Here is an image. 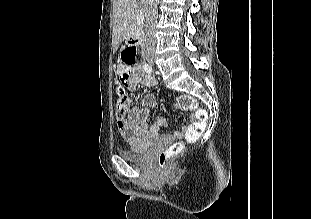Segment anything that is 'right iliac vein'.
Returning <instances> with one entry per match:
<instances>
[{
	"mask_svg": "<svg viewBox=\"0 0 311 219\" xmlns=\"http://www.w3.org/2000/svg\"><path fill=\"white\" fill-rule=\"evenodd\" d=\"M147 60H148L149 62H153L154 57H153V56H150V57L147 58Z\"/></svg>",
	"mask_w": 311,
	"mask_h": 219,
	"instance_id": "63e3f726",
	"label": "right iliac vein"
}]
</instances>
